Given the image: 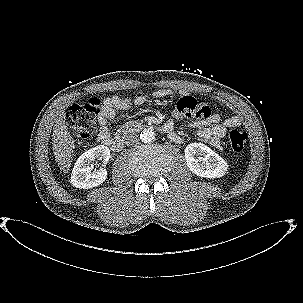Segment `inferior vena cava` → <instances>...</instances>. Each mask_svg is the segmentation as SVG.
<instances>
[{
	"instance_id": "1",
	"label": "inferior vena cava",
	"mask_w": 303,
	"mask_h": 303,
	"mask_svg": "<svg viewBox=\"0 0 303 303\" xmlns=\"http://www.w3.org/2000/svg\"><path fill=\"white\" fill-rule=\"evenodd\" d=\"M139 142V137L136 133H128L125 138V143L127 146L137 145Z\"/></svg>"
}]
</instances>
